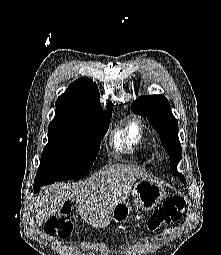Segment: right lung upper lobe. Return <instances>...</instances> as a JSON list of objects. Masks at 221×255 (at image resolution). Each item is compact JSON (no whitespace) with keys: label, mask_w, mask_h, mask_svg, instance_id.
I'll list each match as a JSON object with an SVG mask.
<instances>
[{"label":"right lung upper lobe","mask_w":221,"mask_h":255,"mask_svg":"<svg viewBox=\"0 0 221 255\" xmlns=\"http://www.w3.org/2000/svg\"><path fill=\"white\" fill-rule=\"evenodd\" d=\"M112 112V103L102 111L99 102V90L89 78H79L56 101V113L53 124H65L80 127H93L96 119L103 113Z\"/></svg>","instance_id":"right-lung-upper-lobe-1"}]
</instances>
